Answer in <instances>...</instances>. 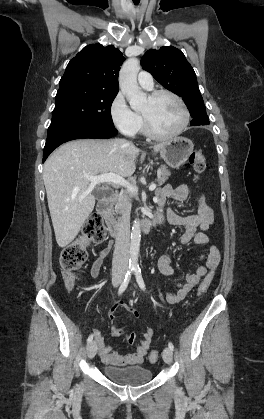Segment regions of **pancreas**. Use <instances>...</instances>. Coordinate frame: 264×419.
Here are the masks:
<instances>
[{"instance_id": "obj_1", "label": "pancreas", "mask_w": 264, "mask_h": 419, "mask_svg": "<svg viewBox=\"0 0 264 419\" xmlns=\"http://www.w3.org/2000/svg\"><path fill=\"white\" fill-rule=\"evenodd\" d=\"M157 173L159 174V177L157 179V184L158 186H161L162 184H164L167 180L168 177L170 176V171L167 169V167L165 165H162ZM124 202L128 205L131 201L132 198H135L138 200V197L129 193V192H125L124 193ZM116 209L119 210V205L116 206Z\"/></svg>"}]
</instances>
